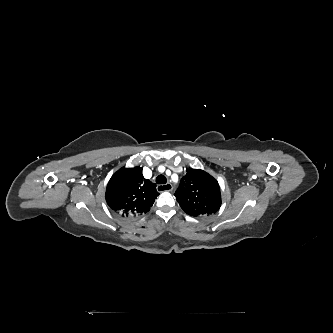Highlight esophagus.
<instances>
[{"label": "esophagus", "instance_id": "1", "mask_svg": "<svg viewBox=\"0 0 333 333\" xmlns=\"http://www.w3.org/2000/svg\"><path fill=\"white\" fill-rule=\"evenodd\" d=\"M157 190L159 192H162V191H172L173 190V186L170 183H167V184H164V185H158L157 186Z\"/></svg>", "mask_w": 333, "mask_h": 333}]
</instances>
